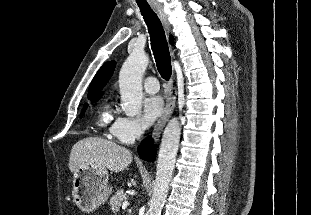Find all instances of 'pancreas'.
I'll use <instances>...</instances> for the list:
<instances>
[{
  "label": "pancreas",
  "mask_w": 311,
  "mask_h": 215,
  "mask_svg": "<svg viewBox=\"0 0 311 215\" xmlns=\"http://www.w3.org/2000/svg\"><path fill=\"white\" fill-rule=\"evenodd\" d=\"M126 194L124 193L123 190H117L116 194L113 195L111 198H110V201H109V204H110V207H111V210L116 213L119 211L121 205H122V202L126 200Z\"/></svg>",
  "instance_id": "pancreas-1"
}]
</instances>
